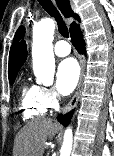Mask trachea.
<instances>
[{
	"mask_svg": "<svg viewBox=\"0 0 114 156\" xmlns=\"http://www.w3.org/2000/svg\"><path fill=\"white\" fill-rule=\"evenodd\" d=\"M40 5L43 7V9L51 16L53 17L58 26L59 33L64 36L65 38L69 37L68 28L63 21L60 13L56 9V7L53 5L51 0H38Z\"/></svg>",
	"mask_w": 114,
	"mask_h": 156,
	"instance_id": "obj_1",
	"label": "trachea"
}]
</instances>
